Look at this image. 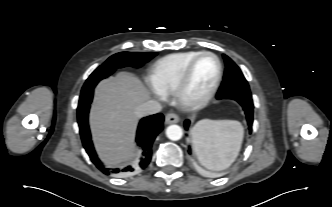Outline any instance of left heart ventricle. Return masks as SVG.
I'll list each match as a JSON object with an SVG mask.
<instances>
[{"mask_svg": "<svg viewBox=\"0 0 332 207\" xmlns=\"http://www.w3.org/2000/svg\"><path fill=\"white\" fill-rule=\"evenodd\" d=\"M217 73L216 60L211 56H205L196 64L188 88V96L191 98L204 95L214 82Z\"/></svg>", "mask_w": 332, "mask_h": 207, "instance_id": "1", "label": "left heart ventricle"}]
</instances>
